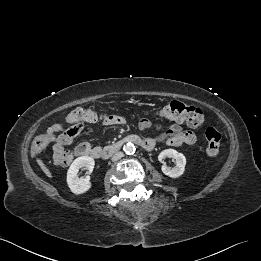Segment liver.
<instances>
[{
  "instance_id": "liver-1",
  "label": "liver",
  "mask_w": 261,
  "mask_h": 261,
  "mask_svg": "<svg viewBox=\"0 0 261 261\" xmlns=\"http://www.w3.org/2000/svg\"><path fill=\"white\" fill-rule=\"evenodd\" d=\"M37 162L39 164V166L41 167V169L43 170V172L49 177L52 178V174L50 172V170L46 167V165L43 163V161L41 159H37Z\"/></svg>"
}]
</instances>
